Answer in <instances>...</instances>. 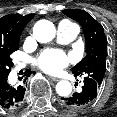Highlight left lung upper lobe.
<instances>
[{
    "label": "left lung upper lobe",
    "mask_w": 117,
    "mask_h": 117,
    "mask_svg": "<svg viewBox=\"0 0 117 117\" xmlns=\"http://www.w3.org/2000/svg\"><path fill=\"white\" fill-rule=\"evenodd\" d=\"M63 13L79 22L83 28L86 42V57L74 68L72 73L83 75L85 79H92L100 88L106 72L107 39L104 29L86 11L80 9H66Z\"/></svg>",
    "instance_id": "1"
}]
</instances>
